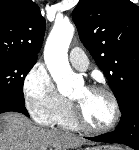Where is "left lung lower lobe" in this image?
<instances>
[{
    "mask_svg": "<svg viewBox=\"0 0 139 150\" xmlns=\"http://www.w3.org/2000/svg\"><path fill=\"white\" fill-rule=\"evenodd\" d=\"M120 110L122 116L115 131L86 138L97 142L125 144L139 150V91L132 93Z\"/></svg>",
    "mask_w": 139,
    "mask_h": 150,
    "instance_id": "0a47b994",
    "label": "left lung lower lobe"
}]
</instances>
